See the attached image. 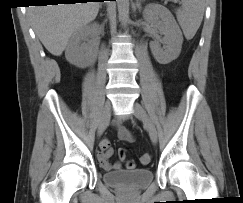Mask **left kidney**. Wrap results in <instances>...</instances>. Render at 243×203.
<instances>
[{"label":"left kidney","mask_w":243,"mask_h":203,"mask_svg":"<svg viewBox=\"0 0 243 203\" xmlns=\"http://www.w3.org/2000/svg\"><path fill=\"white\" fill-rule=\"evenodd\" d=\"M143 17L164 35L162 40L150 43L155 60L160 64L175 60L181 52L183 36L173 15L161 5L150 4L145 8ZM160 42L164 44L163 48L160 47Z\"/></svg>","instance_id":"1"}]
</instances>
